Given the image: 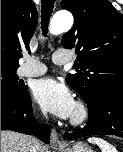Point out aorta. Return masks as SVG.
<instances>
[{
  "mask_svg": "<svg viewBox=\"0 0 123 152\" xmlns=\"http://www.w3.org/2000/svg\"><path fill=\"white\" fill-rule=\"evenodd\" d=\"M73 16L70 12L61 11L56 13L50 23V32L53 35H59L67 32L73 26Z\"/></svg>",
  "mask_w": 123,
  "mask_h": 152,
  "instance_id": "aorta-1",
  "label": "aorta"
}]
</instances>
